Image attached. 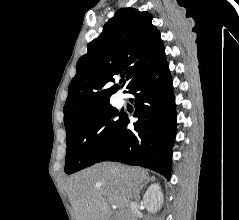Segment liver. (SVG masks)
I'll return each mask as SVG.
<instances>
[{"label":"liver","mask_w":239,"mask_h":220,"mask_svg":"<svg viewBox=\"0 0 239 220\" xmlns=\"http://www.w3.org/2000/svg\"><path fill=\"white\" fill-rule=\"evenodd\" d=\"M148 178L144 169L107 162L76 173L66 184L76 220H111L109 203L125 217L129 201Z\"/></svg>","instance_id":"liver-1"}]
</instances>
